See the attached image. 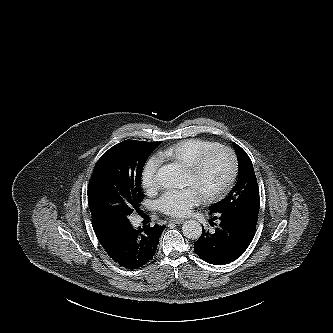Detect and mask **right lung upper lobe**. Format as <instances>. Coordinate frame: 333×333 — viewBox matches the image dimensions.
<instances>
[{"instance_id": "right-lung-upper-lobe-1", "label": "right lung upper lobe", "mask_w": 333, "mask_h": 333, "mask_svg": "<svg viewBox=\"0 0 333 333\" xmlns=\"http://www.w3.org/2000/svg\"><path fill=\"white\" fill-rule=\"evenodd\" d=\"M128 141H130V140H125L123 142H128ZM146 143L149 145L160 144V142H146ZM127 225H128V222H123L121 224L110 226V227L94 228V231H95V234H96L98 240L105 239V238L112 236L114 234V232L117 231L118 229L123 228Z\"/></svg>"}]
</instances>
